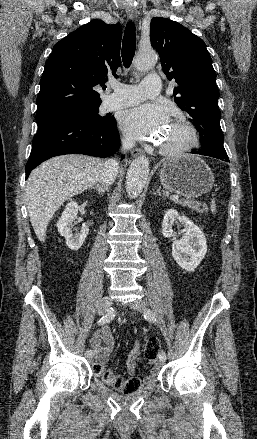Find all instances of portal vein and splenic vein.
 <instances>
[{
    "label": "portal vein and splenic vein",
    "instance_id": "portal-vein-and-splenic-vein-1",
    "mask_svg": "<svg viewBox=\"0 0 257 439\" xmlns=\"http://www.w3.org/2000/svg\"><path fill=\"white\" fill-rule=\"evenodd\" d=\"M180 196L179 195H172L170 196V200H179Z\"/></svg>",
    "mask_w": 257,
    "mask_h": 439
}]
</instances>
